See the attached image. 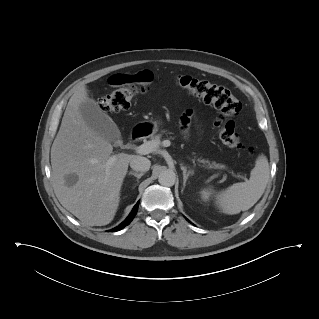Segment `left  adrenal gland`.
<instances>
[{
	"label": "left adrenal gland",
	"instance_id": "left-adrenal-gland-1",
	"mask_svg": "<svg viewBox=\"0 0 319 319\" xmlns=\"http://www.w3.org/2000/svg\"><path fill=\"white\" fill-rule=\"evenodd\" d=\"M181 170L183 171V187H185L188 177L190 175H193L194 171L193 170L187 171V168L183 165H181Z\"/></svg>",
	"mask_w": 319,
	"mask_h": 319
}]
</instances>
